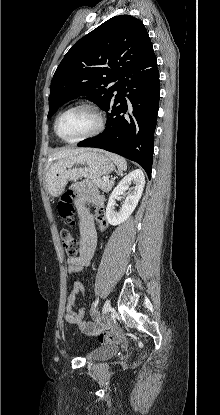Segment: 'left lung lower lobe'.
I'll list each match as a JSON object with an SVG mask.
<instances>
[{
    "label": "left lung lower lobe",
    "instance_id": "left-lung-lower-lobe-1",
    "mask_svg": "<svg viewBox=\"0 0 220 415\" xmlns=\"http://www.w3.org/2000/svg\"><path fill=\"white\" fill-rule=\"evenodd\" d=\"M118 80L115 84L117 94L103 109L108 112L104 132L79 142L78 146L117 153L139 163L150 178L160 95L155 54Z\"/></svg>",
    "mask_w": 220,
    "mask_h": 415
}]
</instances>
